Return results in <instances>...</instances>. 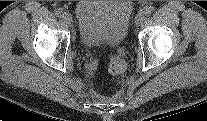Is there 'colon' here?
Segmentation results:
<instances>
[{"instance_id":"obj_1","label":"colon","mask_w":207,"mask_h":121,"mask_svg":"<svg viewBox=\"0 0 207 121\" xmlns=\"http://www.w3.org/2000/svg\"><path fill=\"white\" fill-rule=\"evenodd\" d=\"M108 69L111 74L119 75L125 71L126 63L121 56L114 54L109 58Z\"/></svg>"}]
</instances>
